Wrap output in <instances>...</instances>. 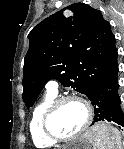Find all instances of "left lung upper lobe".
Masks as SVG:
<instances>
[{
    "label": "left lung upper lobe",
    "instance_id": "left-lung-upper-lobe-1",
    "mask_svg": "<svg viewBox=\"0 0 124 149\" xmlns=\"http://www.w3.org/2000/svg\"><path fill=\"white\" fill-rule=\"evenodd\" d=\"M73 17L59 11L29 33L24 58L23 101L32 106L50 79L86 95L118 67L115 37L102 13L84 3L70 6Z\"/></svg>",
    "mask_w": 124,
    "mask_h": 149
}]
</instances>
